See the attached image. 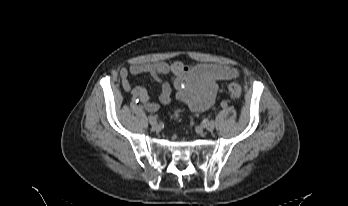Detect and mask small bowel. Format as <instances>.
I'll return each mask as SVG.
<instances>
[{"label":"small bowel","instance_id":"1","mask_svg":"<svg viewBox=\"0 0 348 206\" xmlns=\"http://www.w3.org/2000/svg\"><path fill=\"white\" fill-rule=\"evenodd\" d=\"M140 74H148L160 84L161 104H169L175 95L194 112L205 111L213 105L219 81L233 79L239 75L237 69L233 67L207 63H138L129 68H122L119 75L123 89L151 113L156 112L159 105L151 101L145 88L133 87L129 79L130 75ZM168 76L172 77V84L164 80Z\"/></svg>","mask_w":348,"mask_h":206}]
</instances>
